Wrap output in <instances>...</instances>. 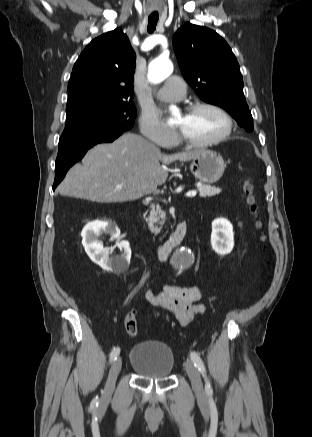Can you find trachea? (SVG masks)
I'll use <instances>...</instances> for the list:
<instances>
[{
    "label": "trachea",
    "mask_w": 312,
    "mask_h": 437,
    "mask_svg": "<svg viewBox=\"0 0 312 437\" xmlns=\"http://www.w3.org/2000/svg\"><path fill=\"white\" fill-rule=\"evenodd\" d=\"M159 19V15L158 14H151L148 18V26H147V31L149 33H152L155 29H156V25Z\"/></svg>",
    "instance_id": "3493384b"
}]
</instances>
